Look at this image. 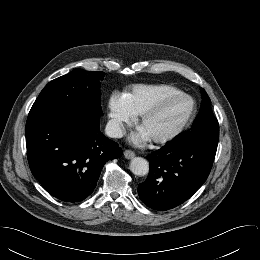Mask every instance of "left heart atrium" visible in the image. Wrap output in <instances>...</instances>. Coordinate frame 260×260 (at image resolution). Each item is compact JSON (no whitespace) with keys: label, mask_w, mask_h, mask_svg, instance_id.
I'll list each match as a JSON object with an SVG mask.
<instances>
[{"label":"left heart atrium","mask_w":260,"mask_h":260,"mask_svg":"<svg viewBox=\"0 0 260 260\" xmlns=\"http://www.w3.org/2000/svg\"><path fill=\"white\" fill-rule=\"evenodd\" d=\"M150 138V136L144 131L141 130L140 132L134 133L131 137H130V141L135 144H142L146 141H148Z\"/></svg>","instance_id":"39dd6f15"}]
</instances>
